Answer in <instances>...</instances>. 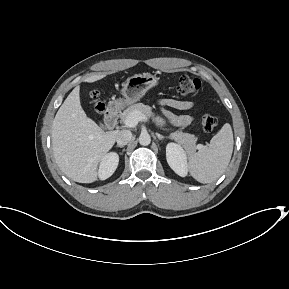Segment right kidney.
I'll use <instances>...</instances> for the list:
<instances>
[{
	"label": "right kidney",
	"mask_w": 289,
	"mask_h": 289,
	"mask_svg": "<svg viewBox=\"0 0 289 289\" xmlns=\"http://www.w3.org/2000/svg\"><path fill=\"white\" fill-rule=\"evenodd\" d=\"M119 163V156L115 152L103 156L100 162L98 176L101 180L109 178L116 170Z\"/></svg>",
	"instance_id": "1"
}]
</instances>
